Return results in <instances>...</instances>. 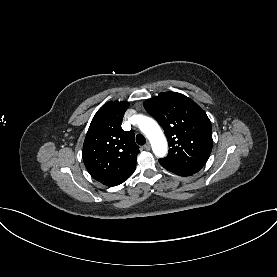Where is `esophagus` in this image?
I'll use <instances>...</instances> for the list:
<instances>
[{
    "label": "esophagus",
    "mask_w": 277,
    "mask_h": 277,
    "mask_svg": "<svg viewBox=\"0 0 277 277\" xmlns=\"http://www.w3.org/2000/svg\"><path fill=\"white\" fill-rule=\"evenodd\" d=\"M144 149L146 150H150L151 149V145L149 142H147L145 145H144Z\"/></svg>",
    "instance_id": "esophagus-1"
}]
</instances>
